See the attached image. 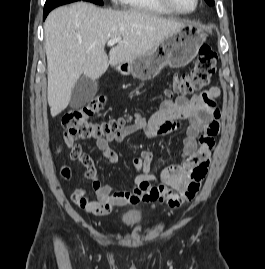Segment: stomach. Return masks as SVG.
I'll return each mask as SVG.
<instances>
[{
	"mask_svg": "<svg viewBox=\"0 0 265 269\" xmlns=\"http://www.w3.org/2000/svg\"><path fill=\"white\" fill-rule=\"evenodd\" d=\"M206 40V33L194 24H186L181 29L165 37L150 52L139 55L119 65L125 66L122 73H130L140 80L155 78L165 66L180 68L188 65L198 54Z\"/></svg>",
	"mask_w": 265,
	"mask_h": 269,
	"instance_id": "0dacf381",
	"label": "stomach"
}]
</instances>
